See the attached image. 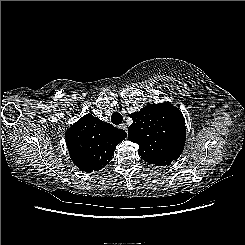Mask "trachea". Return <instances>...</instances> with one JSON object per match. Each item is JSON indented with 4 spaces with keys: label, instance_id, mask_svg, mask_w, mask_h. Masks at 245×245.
<instances>
[{
    "label": "trachea",
    "instance_id": "1",
    "mask_svg": "<svg viewBox=\"0 0 245 245\" xmlns=\"http://www.w3.org/2000/svg\"><path fill=\"white\" fill-rule=\"evenodd\" d=\"M123 117L119 112H114L111 116V121L115 125H119L122 123Z\"/></svg>",
    "mask_w": 245,
    "mask_h": 245
}]
</instances>
